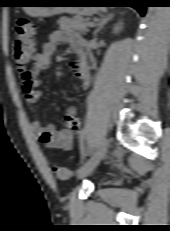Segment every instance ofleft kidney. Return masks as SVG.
Segmentation results:
<instances>
[{
  "label": "left kidney",
  "instance_id": "obj_1",
  "mask_svg": "<svg viewBox=\"0 0 170 231\" xmlns=\"http://www.w3.org/2000/svg\"><path fill=\"white\" fill-rule=\"evenodd\" d=\"M122 28V22H120L115 28H114V32L118 33Z\"/></svg>",
  "mask_w": 170,
  "mask_h": 231
}]
</instances>
